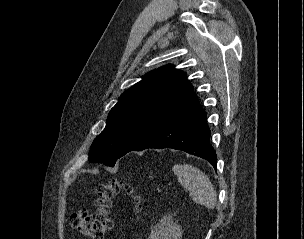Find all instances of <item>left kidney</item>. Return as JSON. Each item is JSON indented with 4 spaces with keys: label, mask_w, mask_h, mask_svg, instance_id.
Masks as SVG:
<instances>
[{
    "label": "left kidney",
    "mask_w": 304,
    "mask_h": 239,
    "mask_svg": "<svg viewBox=\"0 0 304 239\" xmlns=\"http://www.w3.org/2000/svg\"><path fill=\"white\" fill-rule=\"evenodd\" d=\"M182 228L173 222L171 215L164 216L157 225L151 229L148 239H181Z\"/></svg>",
    "instance_id": "left-kidney-1"
}]
</instances>
